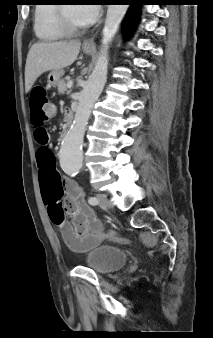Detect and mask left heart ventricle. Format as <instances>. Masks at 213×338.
<instances>
[{
	"label": "left heart ventricle",
	"instance_id": "obj_1",
	"mask_svg": "<svg viewBox=\"0 0 213 338\" xmlns=\"http://www.w3.org/2000/svg\"><path fill=\"white\" fill-rule=\"evenodd\" d=\"M66 13L68 18L74 25L85 26V23H83L77 16V8L75 7V5H67Z\"/></svg>",
	"mask_w": 213,
	"mask_h": 338
}]
</instances>
